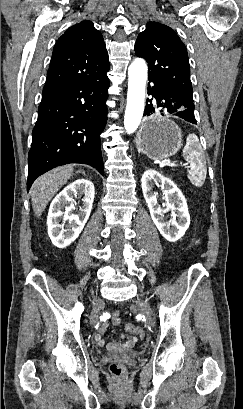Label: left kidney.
Wrapping results in <instances>:
<instances>
[{"mask_svg": "<svg viewBox=\"0 0 243 409\" xmlns=\"http://www.w3.org/2000/svg\"><path fill=\"white\" fill-rule=\"evenodd\" d=\"M154 185H160L163 188L166 209L157 205V193L153 192ZM141 186L151 218L161 235L170 242L179 240L190 225L188 206L182 192L169 178L151 169L144 172ZM169 210L178 214H174L173 219L167 222L164 219V213Z\"/></svg>", "mask_w": 243, "mask_h": 409, "instance_id": "1", "label": "left kidney"}]
</instances>
